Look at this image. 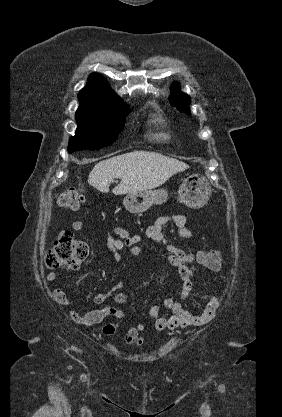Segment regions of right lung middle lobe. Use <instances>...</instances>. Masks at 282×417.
Wrapping results in <instances>:
<instances>
[{
	"mask_svg": "<svg viewBox=\"0 0 282 417\" xmlns=\"http://www.w3.org/2000/svg\"><path fill=\"white\" fill-rule=\"evenodd\" d=\"M76 112L78 128L69 140L68 151L99 150L116 141L131 109L120 97L80 99Z\"/></svg>",
	"mask_w": 282,
	"mask_h": 417,
	"instance_id": "obj_1",
	"label": "right lung middle lobe"
}]
</instances>
